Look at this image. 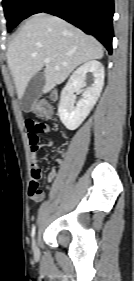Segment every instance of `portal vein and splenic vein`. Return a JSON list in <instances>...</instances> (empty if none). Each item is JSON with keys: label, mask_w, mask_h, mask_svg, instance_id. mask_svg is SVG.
<instances>
[{"label": "portal vein and splenic vein", "mask_w": 134, "mask_h": 281, "mask_svg": "<svg viewBox=\"0 0 134 281\" xmlns=\"http://www.w3.org/2000/svg\"><path fill=\"white\" fill-rule=\"evenodd\" d=\"M44 62H45V63H49V62H50V59H49V58H46V59L44 60Z\"/></svg>", "instance_id": "18ae733b"}]
</instances>
